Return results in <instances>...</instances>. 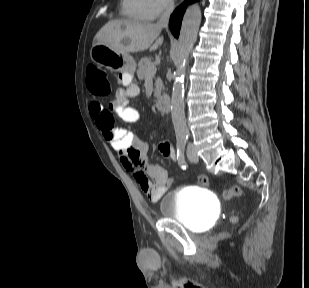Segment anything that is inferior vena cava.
<instances>
[{"mask_svg": "<svg viewBox=\"0 0 309 288\" xmlns=\"http://www.w3.org/2000/svg\"><path fill=\"white\" fill-rule=\"evenodd\" d=\"M173 9H174L173 0H167L165 12L162 14L161 18L157 22V25L159 27L163 28V27L168 26L169 18H170V15H171Z\"/></svg>", "mask_w": 309, "mask_h": 288, "instance_id": "inferior-vena-cava-1", "label": "inferior vena cava"}]
</instances>
